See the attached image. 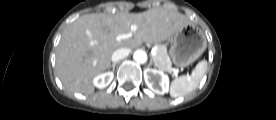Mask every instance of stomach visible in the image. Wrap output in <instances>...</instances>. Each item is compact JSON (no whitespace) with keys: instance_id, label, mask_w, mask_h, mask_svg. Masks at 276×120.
<instances>
[{"instance_id":"obj_1","label":"stomach","mask_w":276,"mask_h":120,"mask_svg":"<svg viewBox=\"0 0 276 120\" xmlns=\"http://www.w3.org/2000/svg\"><path fill=\"white\" fill-rule=\"evenodd\" d=\"M206 47L204 32L194 24H190L174 34L169 55L174 65L185 68L197 60Z\"/></svg>"}]
</instances>
